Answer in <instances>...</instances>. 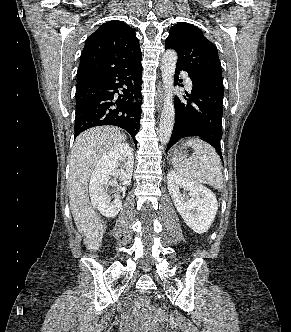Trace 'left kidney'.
I'll return each mask as SVG.
<instances>
[{
	"mask_svg": "<svg viewBox=\"0 0 291 332\" xmlns=\"http://www.w3.org/2000/svg\"><path fill=\"white\" fill-rule=\"evenodd\" d=\"M167 186L175 207L187 226L198 234L205 233L218 210L215 194L207 187L191 182L172 170L167 174Z\"/></svg>",
	"mask_w": 291,
	"mask_h": 332,
	"instance_id": "left-kidney-1",
	"label": "left kidney"
}]
</instances>
